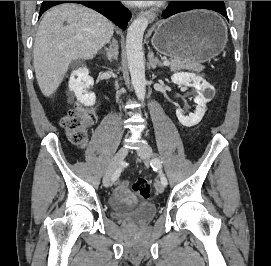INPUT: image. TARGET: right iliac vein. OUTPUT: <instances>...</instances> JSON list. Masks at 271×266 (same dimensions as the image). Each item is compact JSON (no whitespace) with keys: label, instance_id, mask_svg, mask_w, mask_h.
Returning a JSON list of instances; mask_svg holds the SVG:
<instances>
[{"label":"right iliac vein","instance_id":"obj_1","mask_svg":"<svg viewBox=\"0 0 271 266\" xmlns=\"http://www.w3.org/2000/svg\"><path fill=\"white\" fill-rule=\"evenodd\" d=\"M127 154L128 149L126 147L119 149L115 154L103 178V184L105 187H109L112 184V176L116 168L123 162Z\"/></svg>","mask_w":271,"mask_h":266}]
</instances>
